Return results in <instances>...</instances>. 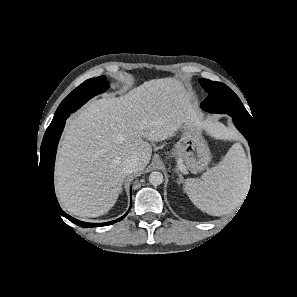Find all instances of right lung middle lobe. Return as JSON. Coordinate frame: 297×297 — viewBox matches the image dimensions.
<instances>
[{"label": "right lung middle lobe", "instance_id": "dd1d6c3e", "mask_svg": "<svg viewBox=\"0 0 297 297\" xmlns=\"http://www.w3.org/2000/svg\"><path fill=\"white\" fill-rule=\"evenodd\" d=\"M107 88L108 82L105 76L91 78L80 84L61 102L47 130H51L58 126L72 112H75L89 99L104 92Z\"/></svg>", "mask_w": 297, "mask_h": 297}]
</instances>
